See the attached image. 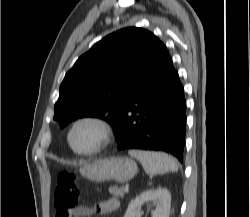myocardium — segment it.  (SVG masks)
I'll return each mask as SVG.
<instances>
[{
    "instance_id": "myocardium-1",
    "label": "myocardium",
    "mask_w": 250,
    "mask_h": 217,
    "mask_svg": "<svg viewBox=\"0 0 250 217\" xmlns=\"http://www.w3.org/2000/svg\"><path fill=\"white\" fill-rule=\"evenodd\" d=\"M83 124H91L96 127L98 131V141L96 145L88 150H78L72 144V134L74 130ZM112 134V129L110 124L103 118L94 116V115H86L82 116L75 121L72 122L70 125L68 132H67V143L70 149L77 155L80 156H91L94 154L99 153L102 151L110 142Z\"/></svg>"
}]
</instances>
